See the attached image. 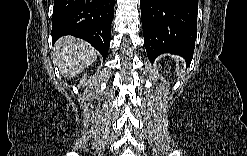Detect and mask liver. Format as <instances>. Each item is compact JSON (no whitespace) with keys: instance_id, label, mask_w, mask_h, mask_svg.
<instances>
[{"instance_id":"6515ba94","label":"liver","mask_w":247,"mask_h":156,"mask_svg":"<svg viewBox=\"0 0 247 156\" xmlns=\"http://www.w3.org/2000/svg\"><path fill=\"white\" fill-rule=\"evenodd\" d=\"M98 53L87 42L65 36L55 44L54 64L62 75L74 77L97 59Z\"/></svg>"}]
</instances>
